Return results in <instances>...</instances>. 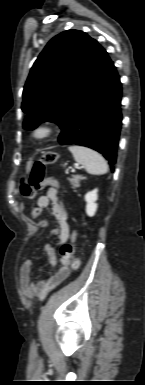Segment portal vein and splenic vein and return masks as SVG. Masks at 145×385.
I'll list each match as a JSON object with an SVG mask.
<instances>
[{"label":"portal vein and splenic vein","instance_id":"portal-vein-and-splenic-vein-1","mask_svg":"<svg viewBox=\"0 0 145 385\" xmlns=\"http://www.w3.org/2000/svg\"><path fill=\"white\" fill-rule=\"evenodd\" d=\"M81 167L79 165H76V169H80Z\"/></svg>","mask_w":145,"mask_h":385}]
</instances>
